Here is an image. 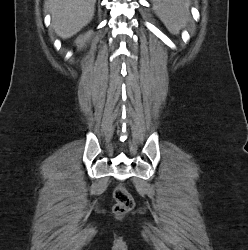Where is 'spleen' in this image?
Returning <instances> with one entry per match:
<instances>
[{"label":"spleen","instance_id":"3e777b00","mask_svg":"<svg viewBox=\"0 0 248 250\" xmlns=\"http://www.w3.org/2000/svg\"><path fill=\"white\" fill-rule=\"evenodd\" d=\"M153 10L164 23L168 31L179 34L191 19L190 0H152Z\"/></svg>","mask_w":248,"mask_h":250}]
</instances>
